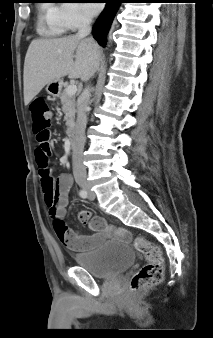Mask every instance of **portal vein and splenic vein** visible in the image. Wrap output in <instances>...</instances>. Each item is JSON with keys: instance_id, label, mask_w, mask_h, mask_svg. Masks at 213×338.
<instances>
[{"instance_id": "portal-vein-and-splenic-vein-1", "label": "portal vein and splenic vein", "mask_w": 213, "mask_h": 338, "mask_svg": "<svg viewBox=\"0 0 213 338\" xmlns=\"http://www.w3.org/2000/svg\"><path fill=\"white\" fill-rule=\"evenodd\" d=\"M77 92V86L72 84V85H69L67 88H66V93L68 95H75Z\"/></svg>"}]
</instances>
